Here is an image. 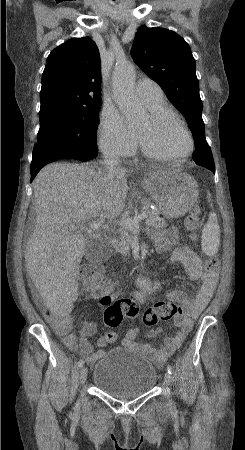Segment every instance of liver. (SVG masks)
<instances>
[{"label":"liver","instance_id":"6515ba94","mask_svg":"<svg viewBox=\"0 0 245 450\" xmlns=\"http://www.w3.org/2000/svg\"><path fill=\"white\" fill-rule=\"evenodd\" d=\"M125 170L51 163L34 180L36 225L25 250L26 269L51 313L69 314L87 238L69 227L120 215L128 192Z\"/></svg>","mask_w":245,"mask_h":450}]
</instances>
